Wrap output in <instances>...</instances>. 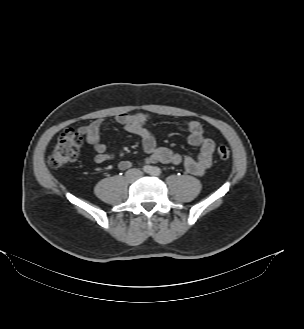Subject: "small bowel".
<instances>
[{
    "label": "small bowel",
    "instance_id": "1",
    "mask_svg": "<svg viewBox=\"0 0 304 329\" xmlns=\"http://www.w3.org/2000/svg\"><path fill=\"white\" fill-rule=\"evenodd\" d=\"M152 119L153 117L149 113L137 112L119 114L114 121L127 132L141 139L144 152L147 155V162L183 166L190 174L203 175L211 166L215 144L211 139L205 137L201 124L196 120H185L182 123L184 129L188 132L189 143L200 149L199 155L195 159L191 156L176 153L167 147L159 146L147 127ZM102 125L103 120L99 119L79 128L80 134L95 150L94 162L97 164L110 161L114 157L108 147L100 142ZM131 166L132 163L128 160L120 161L118 164L121 170H127Z\"/></svg>",
    "mask_w": 304,
    "mask_h": 329
}]
</instances>
